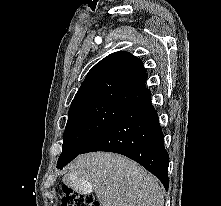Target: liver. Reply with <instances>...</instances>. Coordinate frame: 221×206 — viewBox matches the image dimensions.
<instances>
[{
	"mask_svg": "<svg viewBox=\"0 0 221 206\" xmlns=\"http://www.w3.org/2000/svg\"><path fill=\"white\" fill-rule=\"evenodd\" d=\"M68 169L63 182L80 193L94 190L101 206H164L157 179L122 155L84 154Z\"/></svg>",
	"mask_w": 221,
	"mask_h": 206,
	"instance_id": "liver-1",
	"label": "liver"
}]
</instances>
